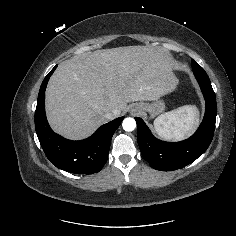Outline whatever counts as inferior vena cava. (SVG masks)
I'll use <instances>...</instances> for the list:
<instances>
[{"mask_svg": "<svg viewBox=\"0 0 236 236\" xmlns=\"http://www.w3.org/2000/svg\"><path fill=\"white\" fill-rule=\"evenodd\" d=\"M116 114H117V111L114 110V111H112V112L106 113L105 116H106V118H108V119H113Z\"/></svg>", "mask_w": 236, "mask_h": 236, "instance_id": "obj_1", "label": "inferior vena cava"}]
</instances>
